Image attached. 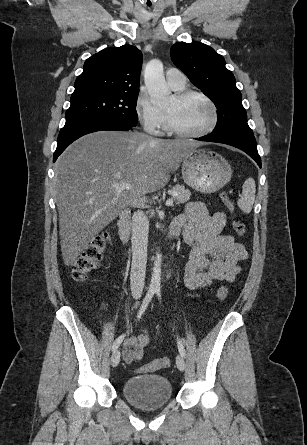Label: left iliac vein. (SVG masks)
Here are the masks:
<instances>
[{"mask_svg":"<svg viewBox=\"0 0 307 445\" xmlns=\"http://www.w3.org/2000/svg\"><path fill=\"white\" fill-rule=\"evenodd\" d=\"M176 365H177V368L180 371H184L185 370L186 364H185V360H184L183 356L178 355L176 357Z\"/></svg>","mask_w":307,"mask_h":445,"instance_id":"obj_1","label":"left iliac vein"}]
</instances>
